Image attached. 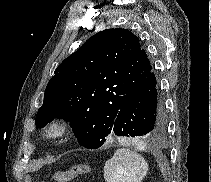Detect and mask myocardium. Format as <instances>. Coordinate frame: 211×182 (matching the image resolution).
Wrapping results in <instances>:
<instances>
[{"mask_svg":"<svg viewBox=\"0 0 211 182\" xmlns=\"http://www.w3.org/2000/svg\"><path fill=\"white\" fill-rule=\"evenodd\" d=\"M71 129L70 123L63 119H54L41 130V137L45 141H53L64 137Z\"/></svg>","mask_w":211,"mask_h":182,"instance_id":"1","label":"myocardium"}]
</instances>
